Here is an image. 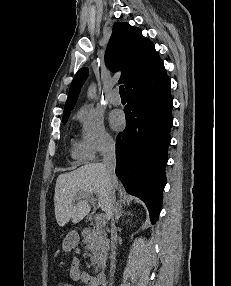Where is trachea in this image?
<instances>
[{"label":"trachea","instance_id":"obj_1","mask_svg":"<svg viewBox=\"0 0 231 286\" xmlns=\"http://www.w3.org/2000/svg\"><path fill=\"white\" fill-rule=\"evenodd\" d=\"M119 91H120V95H126L125 89H124V86H123V85H120Z\"/></svg>","mask_w":231,"mask_h":286}]
</instances>
